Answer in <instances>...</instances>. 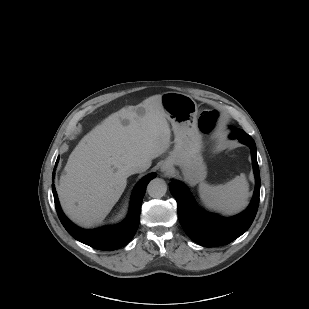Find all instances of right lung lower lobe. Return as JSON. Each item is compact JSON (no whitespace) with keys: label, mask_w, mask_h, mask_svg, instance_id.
I'll return each instance as SVG.
<instances>
[{"label":"right lung lower lobe","mask_w":309,"mask_h":309,"mask_svg":"<svg viewBox=\"0 0 309 309\" xmlns=\"http://www.w3.org/2000/svg\"><path fill=\"white\" fill-rule=\"evenodd\" d=\"M59 161L57 158L56 164ZM55 177V168L52 178ZM156 177L155 173H151L144 177L136 185L131 199L130 210L128 217L119 225L101 227L94 230H85L74 225L63 213L55 185L52 184L54 202L59 219L68 233L76 240L99 250H116L126 245L134 236L139 226L140 209L142 200L146 191V186Z\"/></svg>","instance_id":"right-lung-lower-lobe-1"}]
</instances>
